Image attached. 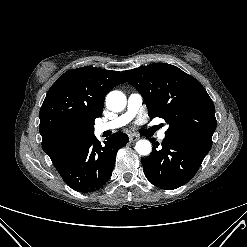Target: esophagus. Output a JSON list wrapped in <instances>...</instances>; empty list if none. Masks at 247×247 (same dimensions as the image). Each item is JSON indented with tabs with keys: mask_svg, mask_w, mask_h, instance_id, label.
<instances>
[{
	"mask_svg": "<svg viewBox=\"0 0 247 247\" xmlns=\"http://www.w3.org/2000/svg\"><path fill=\"white\" fill-rule=\"evenodd\" d=\"M137 140H139V136L134 135V134L129 135V141L130 142H136Z\"/></svg>",
	"mask_w": 247,
	"mask_h": 247,
	"instance_id": "1",
	"label": "esophagus"
}]
</instances>
